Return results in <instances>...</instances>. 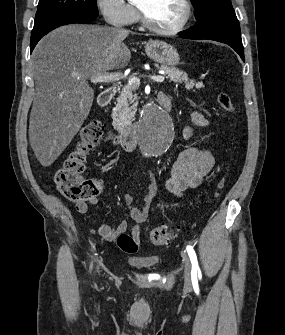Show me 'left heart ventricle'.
I'll return each mask as SVG.
<instances>
[{"mask_svg": "<svg viewBox=\"0 0 285 335\" xmlns=\"http://www.w3.org/2000/svg\"><path fill=\"white\" fill-rule=\"evenodd\" d=\"M153 25L170 29L181 23L185 10L178 1H143Z\"/></svg>", "mask_w": 285, "mask_h": 335, "instance_id": "left-heart-ventricle-1", "label": "left heart ventricle"}]
</instances>
